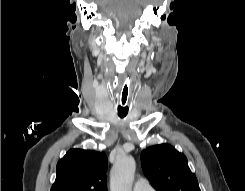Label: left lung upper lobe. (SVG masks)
Wrapping results in <instances>:
<instances>
[{
    "mask_svg": "<svg viewBox=\"0 0 245 191\" xmlns=\"http://www.w3.org/2000/svg\"><path fill=\"white\" fill-rule=\"evenodd\" d=\"M141 163L157 191H201L186 156L171 145L160 144L143 150Z\"/></svg>",
    "mask_w": 245,
    "mask_h": 191,
    "instance_id": "1",
    "label": "left lung upper lobe"
}]
</instances>
